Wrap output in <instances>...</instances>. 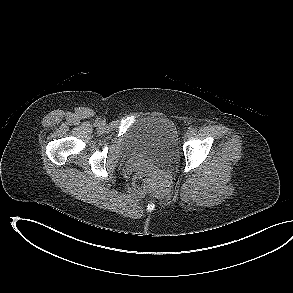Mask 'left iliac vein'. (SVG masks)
<instances>
[{"mask_svg":"<svg viewBox=\"0 0 293 293\" xmlns=\"http://www.w3.org/2000/svg\"><path fill=\"white\" fill-rule=\"evenodd\" d=\"M186 136H190V135H192V130L190 129V130H188L187 132H186V134H185Z\"/></svg>","mask_w":293,"mask_h":293,"instance_id":"1","label":"left iliac vein"}]
</instances>
